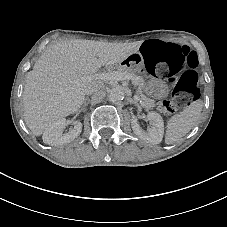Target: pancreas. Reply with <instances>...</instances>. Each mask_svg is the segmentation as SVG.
<instances>
[{"label": "pancreas", "instance_id": "pancreas-1", "mask_svg": "<svg viewBox=\"0 0 227 227\" xmlns=\"http://www.w3.org/2000/svg\"><path fill=\"white\" fill-rule=\"evenodd\" d=\"M114 72L116 71H121V72H124V73H130L134 76L137 84H138V98L141 100V106L142 107H145V108H150L152 107V105L154 104V100L145 96L144 95V90L146 88V83H145V80L142 76L138 75V74H134L130 71H128L127 69L123 68V67H119L117 66L116 69L113 70Z\"/></svg>", "mask_w": 227, "mask_h": 227}]
</instances>
